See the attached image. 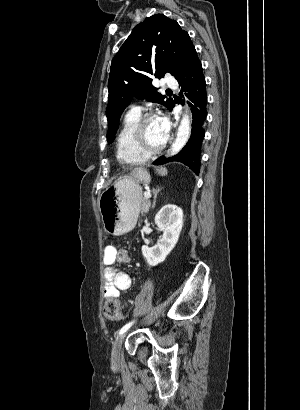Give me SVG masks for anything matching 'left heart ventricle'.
I'll return each instance as SVG.
<instances>
[{"mask_svg": "<svg viewBox=\"0 0 300 410\" xmlns=\"http://www.w3.org/2000/svg\"><path fill=\"white\" fill-rule=\"evenodd\" d=\"M145 141L150 147L160 146L166 137L161 132L155 118L149 120L144 126Z\"/></svg>", "mask_w": 300, "mask_h": 410, "instance_id": "b2bd125f", "label": "left heart ventricle"}]
</instances>
